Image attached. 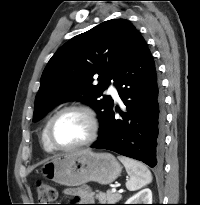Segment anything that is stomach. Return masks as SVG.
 <instances>
[{
    "label": "stomach",
    "instance_id": "obj_1",
    "mask_svg": "<svg viewBox=\"0 0 200 205\" xmlns=\"http://www.w3.org/2000/svg\"><path fill=\"white\" fill-rule=\"evenodd\" d=\"M121 170V165L112 154L88 149L65 153L47 161L42 167L47 179L68 187L89 181L106 185L112 183Z\"/></svg>",
    "mask_w": 200,
    "mask_h": 205
}]
</instances>
